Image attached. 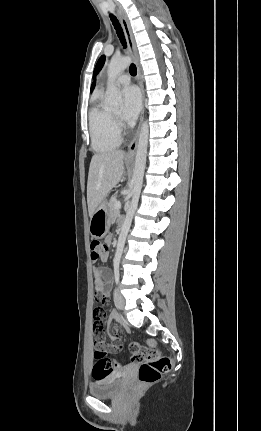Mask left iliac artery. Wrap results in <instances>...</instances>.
<instances>
[{
  "label": "left iliac artery",
  "mask_w": 261,
  "mask_h": 431,
  "mask_svg": "<svg viewBox=\"0 0 261 431\" xmlns=\"http://www.w3.org/2000/svg\"><path fill=\"white\" fill-rule=\"evenodd\" d=\"M114 273H115V282H116V284H118L119 283V276H120L119 268H115Z\"/></svg>",
  "instance_id": "44dca946"
}]
</instances>
